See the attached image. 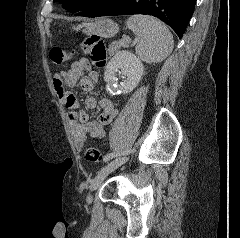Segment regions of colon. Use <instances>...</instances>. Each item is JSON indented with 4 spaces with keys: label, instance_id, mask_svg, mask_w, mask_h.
Segmentation results:
<instances>
[{
    "label": "colon",
    "instance_id": "5ec220e1",
    "mask_svg": "<svg viewBox=\"0 0 240 238\" xmlns=\"http://www.w3.org/2000/svg\"><path fill=\"white\" fill-rule=\"evenodd\" d=\"M81 51L90 56L92 62L99 68L103 67L107 58V49L105 43L99 37H88L81 43ZM75 51H65L54 47L49 52V58L54 64H62L70 60ZM85 157L90 162H100L102 160L101 152L94 147H87Z\"/></svg>",
    "mask_w": 240,
    "mask_h": 238
}]
</instances>
